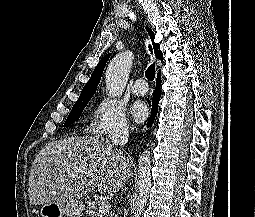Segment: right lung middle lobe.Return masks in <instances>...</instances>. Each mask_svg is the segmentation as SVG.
I'll use <instances>...</instances> for the list:
<instances>
[{
  "label": "right lung middle lobe",
  "instance_id": "dd1d6c3e",
  "mask_svg": "<svg viewBox=\"0 0 255 217\" xmlns=\"http://www.w3.org/2000/svg\"><path fill=\"white\" fill-rule=\"evenodd\" d=\"M93 95L94 92L80 95L79 99L73 105L72 110L68 115L67 120L65 121L64 127L70 126L81 116V113L83 112L84 108L86 107Z\"/></svg>",
  "mask_w": 255,
  "mask_h": 217
}]
</instances>
